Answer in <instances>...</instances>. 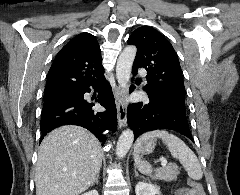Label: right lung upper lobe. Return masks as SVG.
Returning <instances> with one entry per match:
<instances>
[{
    "mask_svg": "<svg viewBox=\"0 0 240 195\" xmlns=\"http://www.w3.org/2000/svg\"><path fill=\"white\" fill-rule=\"evenodd\" d=\"M102 79L100 46L92 34L81 33L56 55L48 72L44 95L77 91Z\"/></svg>",
    "mask_w": 240,
    "mask_h": 195,
    "instance_id": "cb5924a9",
    "label": "right lung upper lobe"
}]
</instances>
